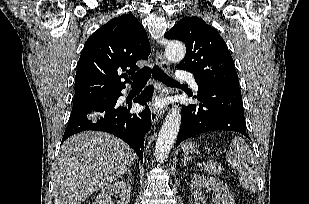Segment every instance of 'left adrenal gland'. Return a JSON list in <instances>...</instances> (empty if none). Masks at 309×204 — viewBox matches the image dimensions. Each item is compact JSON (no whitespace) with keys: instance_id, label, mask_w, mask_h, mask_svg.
Masks as SVG:
<instances>
[{"instance_id":"left-adrenal-gland-1","label":"left adrenal gland","mask_w":309,"mask_h":204,"mask_svg":"<svg viewBox=\"0 0 309 204\" xmlns=\"http://www.w3.org/2000/svg\"><path fill=\"white\" fill-rule=\"evenodd\" d=\"M186 165V161H184V166Z\"/></svg>"}]
</instances>
